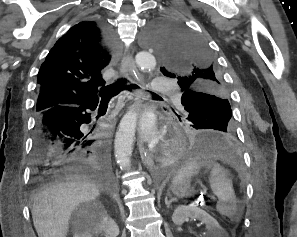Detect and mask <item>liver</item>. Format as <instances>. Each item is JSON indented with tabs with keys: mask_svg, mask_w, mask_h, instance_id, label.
I'll list each match as a JSON object with an SVG mask.
<instances>
[{
	"mask_svg": "<svg viewBox=\"0 0 297 237\" xmlns=\"http://www.w3.org/2000/svg\"><path fill=\"white\" fill-rule=\"evenodd\" d=\"M100 195V187L89 177L72 175L50 184L33 196L32 219L38 237H66L75 208Z\"/></svg>",
	"mask_w": 297,
	"mask_h": 237,
	"instance_id": "obj_1",
	"label": "liver"
}]
</instances>
